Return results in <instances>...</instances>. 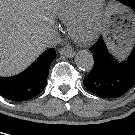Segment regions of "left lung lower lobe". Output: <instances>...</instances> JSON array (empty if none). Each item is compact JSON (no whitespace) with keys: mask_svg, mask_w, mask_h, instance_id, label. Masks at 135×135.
<instances>
[{"mask_svg":"<svg viewBox=\"0 0 135 135\" xmlns=\"http://www.w3.org/2000/svg\"><path fill=\"white\" fill-rule=\"evenodd\" d=\"M129 6L135 11V2ZM89 50L94 66L83 81L89 91L103 98H118L135 84V47L124 62L111 58L102 37Z\"/></svg>","mask_w":135,"mask_h":135,"instance_id":"left-lung-lower-lobe-1","label":"left lung lower lobe"}]
</instances>
